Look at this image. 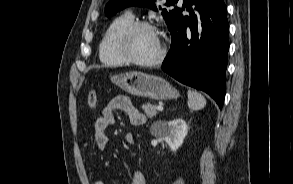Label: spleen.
<instances>
[{
  "instance_id": "1",
  "label": "spleen",
  "mask_w": 293,
  "mask_h": 184,
  "mask_svg": "<svg viewBox=\"0 0 293 184\" xmlns=\"http://www.w3.org/2000/svg\"><path fill=\"white\" fill-rule=\"evenodd\" d=\"M188 106L192 110L203 109L206 105V100L203 95L197 91L188 90Z\"/></svg>"
}]
</instances>
